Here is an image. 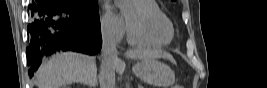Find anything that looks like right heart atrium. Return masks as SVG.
<instances>
[{
    "mask_svg": "<svg viewBox=\"0 0 267 88\" xmlns=\"http://www.w3.org/2000/svg\"><path fill=\"white\" fill-rule=\"evenodd\" d=\"M101 31L106 38L118 41L125 33L124 22L118 15L106 13L101 19Z\"/></svg>",
    "mask_w": 267,
    "mask_h": 88,
    "instance_id": "right-heart-atrium-1",
    "label": "right heart atrium"
}]
</instances>
